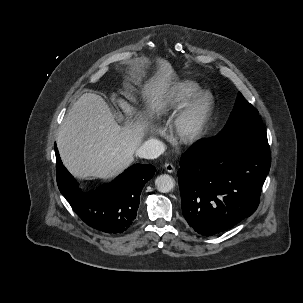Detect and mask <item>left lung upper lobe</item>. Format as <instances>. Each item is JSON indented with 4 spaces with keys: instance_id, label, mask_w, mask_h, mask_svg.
I'll return each mask as SVG.
<instances>
[{
    "instance_id": "5c2ea615",
    "label": "left lung upper lobe",
    "mask_w": 303,
    "mask_h": 303,
    "mask_svg": "<svg viewBox=\"0 0 303 303\" xmlns=\"http://www.w3.org/2000/svg\"><path fill=\"white\" fill-rule=\"evenodd\" d=\"M230 137L269 148L266 130L257 109L241 93L238 94L234 109L226 125L214 139L224 140Z\"/></svg>"
}]
</instances>
